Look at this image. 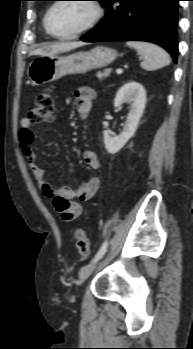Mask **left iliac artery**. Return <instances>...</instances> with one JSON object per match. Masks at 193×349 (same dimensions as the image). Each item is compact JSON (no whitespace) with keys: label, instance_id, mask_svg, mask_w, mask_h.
Segmentation results:
<instances>
[{"label":"left iliac artery","instance_id":"obj_1","mask_svg":"<svg viewBox=\"0 0 193 349\" xmlns=\"http://www.w3.org/2000/svg\"><path fill=\"white\" fill-rule=\"evenodd\" d=\"M107 246H108V243L107 241H105L102 246L100 247L99 251L97 252V254L95 255V257L93 258V262L94 261H97L98 259H100L106 252L107 250Z\"/></svg>","mask_w":193,"mask_h":349}]
</instances>
